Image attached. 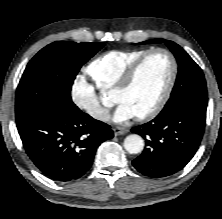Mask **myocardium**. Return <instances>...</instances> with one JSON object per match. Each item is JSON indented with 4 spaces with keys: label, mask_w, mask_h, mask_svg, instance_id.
<instances>
[{
    "label": "myocardium",
    "mask_w": 222,
    "mask_h": 219,
    "mask_svg": "<svg viewBox=\"0 0 222 219\" xmlns=\"http://www.w3.org/2000/svg\"><path fill=\"white\" fill-rule=\"evenodd\" d=\"M155 53H163L169 58L170 64H171L170 75H169V79L165 87V90L162 96L160 97V99L158 100V102L150 110L146 111L145 113L136 115V119L140 121L149 120L156 117L163 110L166 103L168 102L171 96V93L173 91V88L177 79V74H178V62L175 55L170 50L166 48H161V47L147 50L142 55H140L135 61L131 63V65L126 69L120 81L114 88L115 93H121V92L126 91L132 85L142 63L150 55L155 54Z\"/></svg>",
    "instance_id": "myocardium-1"
}]
</instances>
